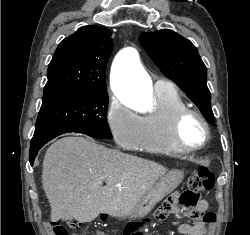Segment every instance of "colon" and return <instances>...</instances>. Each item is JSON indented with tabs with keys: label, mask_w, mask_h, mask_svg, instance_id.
Here are the masks:
<instances>
[{
	"label": "colon",
	"mask_w": 250,
	"mask_h": 235,
	"mask_svg": "<svg viewBox=\"0 0 250 235\" xmlns=\"http://www.w3.org/2000/svg\"><path fill=\"white\" fill-rule=\"evenodd\" d=\"M215 181L214 174L206 167H200L194 171L187 180V188L181 194L180 203L186 207H196L200 201V194L213 188ZM195 215V214H194ZM159 217V210L153 216L154 220ZM204 222L215 221V214L212 211L206 212L202 216ZM71 227H76L77 222H71ZM52 228L55 235H72L67 228L58 221L52 222Z\"/></svg>",
	"instance_id": "1"
}]
</instances>
